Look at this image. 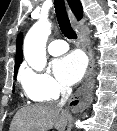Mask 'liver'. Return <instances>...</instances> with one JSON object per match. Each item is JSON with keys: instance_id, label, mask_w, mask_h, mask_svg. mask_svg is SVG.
Instances as JSON below:
<instances>
[{"instance_id": "6515ba94", "label": "liver", "mask_w": 117, "mask_h": 131, "mask_svg": "<svg viewBox=\"0 0 117 131\" xmlns=\"http://www.w3.org/2000/svg\"><path fill=\"white\" fill-rule=\"evenodd\" d=\"M70 115L59 104H40L19 110L10 131H47L53 127L64 131Z\"/></svg>"}]
</instances>
